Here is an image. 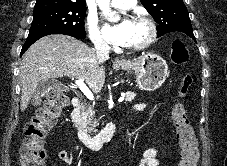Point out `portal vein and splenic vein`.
Wrapping results in <instances>:
<instances>
[{
    "label": "portal vein and splenic vein",
    "instance_id": "portal-vein-and-splenic-vein-1",
    "mask_svg": "<svg viewBox=\"0 0 227 166\" xmlns=\"http://www.w3.org/2000/svg\"><path fill=\"white\" fill-rule=\"evenodd\" d=\"M75 84L90 101H94V95L89 90V88L85 85V83L83 82V79L79 78V79L75 80ZM118 101L119 102L124 101V97L119 98Z\"/></svg>",
    "mask_w": 227,
    "mask_h": 166
}]
</instances>
